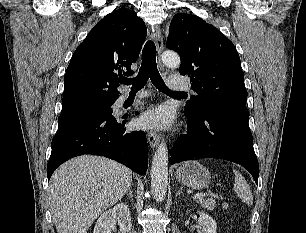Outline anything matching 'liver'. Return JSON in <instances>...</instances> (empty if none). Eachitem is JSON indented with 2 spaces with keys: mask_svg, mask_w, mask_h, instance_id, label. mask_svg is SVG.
Masks as SVG:
<instances>
[{
  "mask_svg": "<svg viewBox=\"0 0 306 233\" xmlns=\"http://www.w3.org/2000/svg\"><path fill=\"white\" fill-rule=\"evenodd\" d=\"M132 171L105 157L83 155L52 175L48 197L58 233H87L94 220L128 191Z\"/></svg>",
  "mask_w": 306,
  "mask_h": 233,
  "instance_id": "6515ba94",
  "label": "liver"
}]
</instances>
